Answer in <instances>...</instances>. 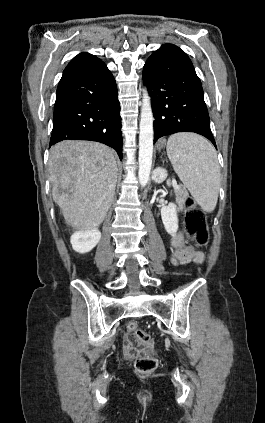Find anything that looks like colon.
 Segmentation results:
<instances>
[{
  "instance_id": "obj_1",
  "label": "colon",
  "mask_w": 265,
  "mask_h": 423,
  "mask_svg": "<svg viewBox=\"0 0 265 423\" xmlns=\"http://www.w3.org/2000/svg\"><path fill=\"white\" fill-rule=\"evenodd\" d=\"M185 229L187 234L201 246L207 245L209 232L206 223L205 213L197 206L192 197L185 201ZM127 330L134 334L138 340L139 347L149 349L152 346V339L149 333L139 328L136 322L127 324ZM158 362L154 357H139L135 362L136 370L140 373H151L157 368Z\"/></svg>"
}]
</instances>
